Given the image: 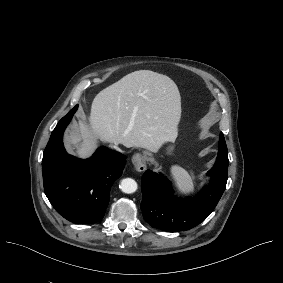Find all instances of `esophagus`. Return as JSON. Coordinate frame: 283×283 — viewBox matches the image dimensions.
Returning a JSON list of instances; mask_svg holds the SVG:
<instances>
[{
    "label": "esophagus",
    "mask_w": 283,
    "mask_h": 283,
    "mask_svg": "<svg viewBox=\"0 0 283 283\" xmlns=\"http://www.w3.org/2000/svg\"><path fill=\"white\" fill-rule=\"evenodd\" d=\"M132 163L137 171L142 172L146 169V156L141 153H136L132 156Z\"/></svg>",
    "instance_id": "esophagus-1"
}]
</instances>
